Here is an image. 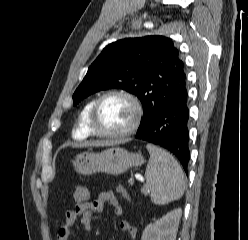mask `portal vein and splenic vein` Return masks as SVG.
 <instances>
[{
    "label": "portal vein and splenic vein",
    "mask_w": 248,
    "mask_h": 240,
    "mask_svg": "<svg viewBox=\"0 0 248 240\" xmlns=\"http://www.w3.org/2000/svg\"><path fill=\"white\" fill-rule=\"evenodd\" d=\"M142 192L143 193H147V192H149V190L146 188V189H142Z\"/></svg>",
    "instance_id": "1"
}]
</instances>
